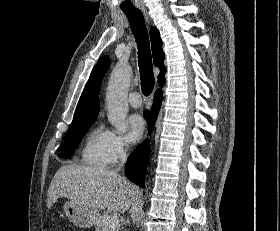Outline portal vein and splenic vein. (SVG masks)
<instances>
[{
  "label": "portal vein and splenic vein",
  "mask_w": 280,
  "mask_h": 231,
  "mask_svg": "<svg viewBox=\"0 0 280 231\" xmlns=\"http://www.w3.org/2000/svg\"><path fill=\"white\" fill-rule=\"evenodd\" d=\"M119 221V217H117L116 213H114V215H109L107 223H109V227H112V225H117Z\"/></svg>",
  "instance_id": "portal-vein-and-splenic-vein-1"
}]
</instances>
